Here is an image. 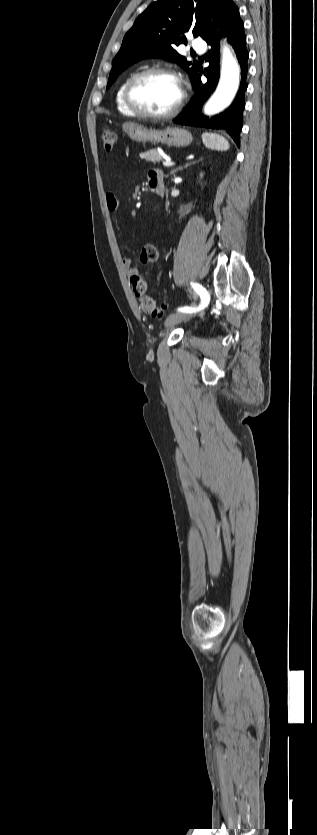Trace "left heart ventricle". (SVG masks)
I'll return each mask as SVG.
<instances>
[{"mask_svg": "<svg viewBox=\"0 0 317 835\" xmlns=\"http://www.w3.org/2000/svg\"><path fill=\"white\" fill-rule=\"evenodd\" d=\"M180 93V86L173 78L165 75H152L136 87L134 98L143 109L161 113L171 109L177 103Z\"/></svg>", "mask_w": 317, "mask_h": 835, "instance_id": "1", "label": "left heart ventricle"}]
</instances>
